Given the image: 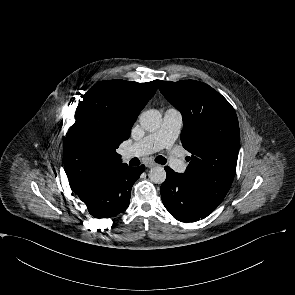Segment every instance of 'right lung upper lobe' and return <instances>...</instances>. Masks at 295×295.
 <instances>
[{
  "label": "right lung upper lobe",
  "mask_w": 295,
  "mask_h": 295,
  "mask_svg": "<svg viewBox=\"0 0 295 295\" xmlns=\"http://www.w3.org/2000/svg\"><path fill=\"white\" fill-rule=\"evenodd\" d=\"M112 81L119 86L121 97L133 121L155 94L159 84V80L146 83ZM133 124L114 134L88 133L77 122L70 127L63 145V160L70 187L76 194L96 174L122 165L121 156L116 149L129 138Z\"/></svg>",
  "instance_id": "obj_1"
}]
</instances>
